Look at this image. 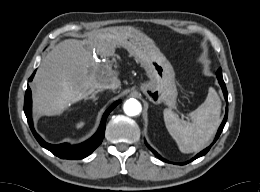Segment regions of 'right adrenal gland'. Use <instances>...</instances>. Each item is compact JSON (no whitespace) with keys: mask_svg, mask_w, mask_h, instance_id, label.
Segmentation results:
<instances>
[{"mask_svg":"<svg viewBox=\"0 0 260 192\" xmlns=\"http://www.w3.org/2000/svg\"><path fill=\"white\" fill-rule=\"evenodd\" d=\"M100 92V90L98 89L97 91L93 92L92 95L88 98H85V100H92L93 102H95L98 98L96 97V94Z\"/></svg>","mask_w":260,"mask_h":192,"instance_id":"right-adrenal-gland-1","label":"right adrenal gland"}]
</instances>
